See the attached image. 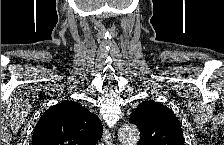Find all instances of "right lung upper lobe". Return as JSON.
Returning a JSON list of instances; mask_svg holds the SVG:
<instances>
[{
	"label": "right lung upper lobe",
	"instance_id": "cb5924a9",
	"mask_svg": "<svg viewBox=\"0 0 224 145\" xmlns=\"http://www.w3.org/2000/svg\"><path fill=\"white\" fill-rule=\"evenodd\" d=\"M101 137L99 118L79 103L65 100L41 116L32 145H95Z\"/></svg>",
	"mask_w": 224,
	"mask_h": 145
}]
</instances>
